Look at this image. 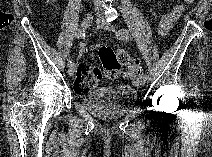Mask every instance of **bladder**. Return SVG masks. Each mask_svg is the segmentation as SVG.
Wrapping results in <instances>:
<instances>
[{
    "mask_svg": "<svg viewBox=\"0 0 212 157\" xmlns=\"http://www.w3.org/2000/svg\"><path fill=\"white\" fill-rule=\"evenodd\" d=\"M137 98V91L127 86H105L81 95L83 107L105 120L116 119L127 113Z\"/></svg>",
    "mask_w": 212,
    "mask_h": 157,
    "instance_id": "obj_1",
    "label": "bladder"
}]
</instances>
